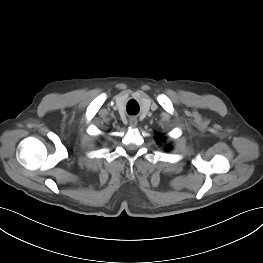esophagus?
Here are the masks:
<instances>
[{
	"mask_svg": "<svg viewBox=\"0 0 263 263\" xmlns=\"http://www.w3.org/2000/svg\"><path fill=\"white\" fill-rule=\"evenodd\" d=\"M137 123H138V120L136 117H131L130 120H129V124L131 127H136L137 126Z\"/></svg>",
	"mask_w": 263,
	"mask_h": 263,
	"instance_id": "esophagus-1",
	"label": "esophagus"
}]
</instances>
